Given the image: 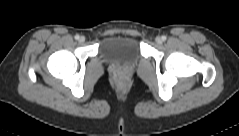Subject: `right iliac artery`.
I'll return each mask as SVG.
<instances>
[{"label": "right iliac artery", "mask_w": 239, "mask_h": 136, "mask_svg": "<svg viewBox=\"0 0 239 136\" xmlns=\"http://www.w3.org/2000/svg\"><path fill=\"white\" fill-rule=\"evenodd\" d=\"M80 38L79 35H75V39L78 40Z\"/></svg>", "instance_id": "right-iliac-artery-1"}]
</instances>
